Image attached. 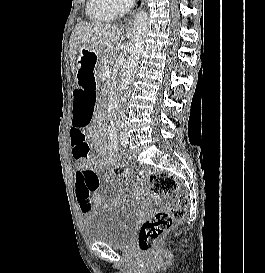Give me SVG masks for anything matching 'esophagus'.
Here are the masks:
<instances>
[{"label":"esophagus","mask_w":265,"mask_h":273,"mask_svg":"<svg viewBox=\"0 0 265 273\" xmlns=\"http://www.w3.org/2000/svg\"><path fill=\"white\" fill-rule=\"evenodd\" d=\"M132 16H133V13H132V15H130V17L127 19L128 24H131V22H132Z\"/></svg>","instance_id":"34e87169"}]
</instances>
